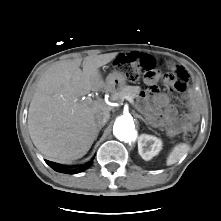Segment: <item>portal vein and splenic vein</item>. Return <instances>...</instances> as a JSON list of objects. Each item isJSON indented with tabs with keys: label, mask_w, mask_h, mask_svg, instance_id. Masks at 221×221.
<instances>
[{
	"label": "portal vein and splenic vein",
	"mask_w": 221,
	"mask_h": 221,
	"mask_svg": "<svg viewBox=\"0 0 221 221\" xmlns=\"http://www.w3.org/2000/svg\"><path fill=\"white\" fill-rule=\"evenodd\" d=\"M124 98H125L131 105H134V100H133V98H132L131 96H125ZM87 101H88L89 103H91V102H92V99H91V98H88Z\"/></svg>",
	"instance_id": "1"
}]
</instances>
